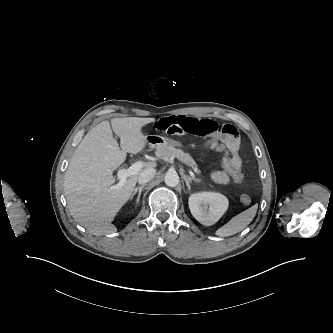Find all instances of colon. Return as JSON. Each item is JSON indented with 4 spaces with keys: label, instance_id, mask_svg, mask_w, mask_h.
<instances>
[{
    "label": "colon",
    "instance_id": "colon-1",
    "mask_svg": "<svg viewBox=\"0 0 333 333\" xmlns=\"http://www.w3.org/2000/svg\"><path fill=\"white\" fill-rule=\"evenodd\" d=\"M204 147L208 150L222 154V170L228 173L230 179H232L236 183H241L243 181V174L241 172V169L236 166L230 153L223 145L210 140L204 144ZM240 200L244 205H248L251 203V197L247 194H243Z\"/></svg>",
    "mask_w": 333,
    "mask_h": 333
}]
</instances>
